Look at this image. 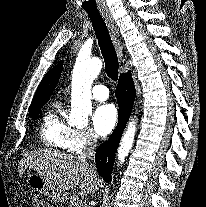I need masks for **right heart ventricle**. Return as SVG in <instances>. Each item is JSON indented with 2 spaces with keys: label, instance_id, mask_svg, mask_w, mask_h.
<instances>
[{
  "label": "right heart ventricle",
  "instance_id": "obj_1",
  "mask_svg": "<svg viewBox=\"0 0 206 207\" xmlns=\"http://www.w3.org/2000/svg\"><path fill=\"white\" fill-rule=\"evenodd\" d=\"M61 106L55 104L42 118L40 137L49 148L70 151V134L72 128L60 114Z\"/></svg>",
  "mask_w": 206,
  "mask_h": 207
}]
</instances>
